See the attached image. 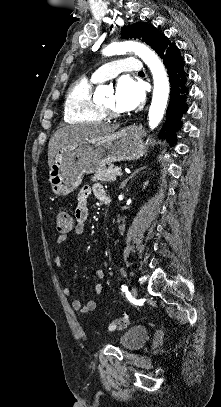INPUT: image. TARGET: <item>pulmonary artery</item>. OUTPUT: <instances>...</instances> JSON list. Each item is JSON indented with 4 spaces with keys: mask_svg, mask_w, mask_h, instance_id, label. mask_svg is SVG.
<instances>
[{
    "mask_svg": "<svg viewBox=\"0 0 221 407\" xmlns=\"http://www.w3.org/2000/svg\"><path fill=\"white\" fill-rule=\"evenodd\" d=\"M144 69L143 64L136 58L122 56L99 67L92 75V79L101 82L115 77L119 73L136 74Z\"/></svg>",
    "mask_w": 221,
    "mask_h": 407,
    "instance_id": "e3ab8cb5",
    "label": "pulmonary artery"
}]
</instances>
